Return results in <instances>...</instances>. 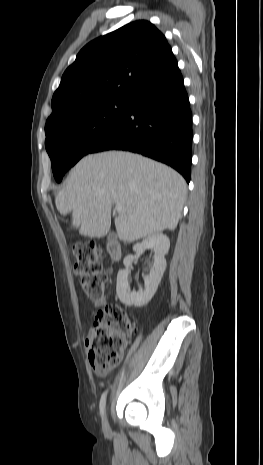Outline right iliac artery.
Instances as JSON below:
<instances>
[{"label":"right iliac artery","instance_id":"obj_1","mask_svg":"<svg viewBox=\"0 0 263 465\" xmlns=\"http://www.w3.org/2000/svg\"><path fill=\"white\" fill-rule=\"evenodd\" d=\"M106 396H107V391H105V392L102 394L101 399H100L99 408H100V415H101L102 417L104 416V413H105Z\"/></svg>","mask_w":263,"mask_h":465}]
</instances>
